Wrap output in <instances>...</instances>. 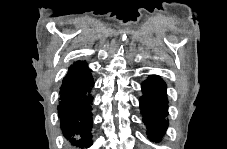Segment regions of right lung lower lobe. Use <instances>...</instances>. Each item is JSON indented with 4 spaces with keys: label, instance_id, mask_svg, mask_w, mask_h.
<instances>
[{
    "label": "right lung lower lobe",
    "instance_id": "right-lung-lower-lobe-1",
    "mask_svg": "<svg viewBox=\"0 0 227 149\" xmlns=\"http://www.w3.org/2000/svg\"><path fill=\"white\" fill-rule=\"evenodd\" d=\"M94 85L86 62H75L60 87L58 114L64 137L71 145L88 148L92 145V102Z\"/></svg>",
    "mask_w": 227,
    "mask_h": 149
}]
</instances>
